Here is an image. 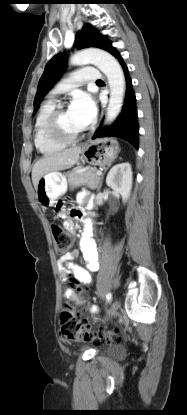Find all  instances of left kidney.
Returning a JSON list of instances; mask_svg holds the SVG:
<instances>
[{
	"label": "left kidney",
	"instance_id": "5707ae66",
	"mask_svg": "<svg viewBox=\"0 0 187 415\" xmlns=\"http://www.w3.org/2000/svg\"><path fill=\"white\" fill-rule=\"evenodd\" d=\"M106 184L120 194L123 202H127L132 188V169L128 162L113 166L107 177Z\"/></svg>",
	"mask_w": 187,
	"mask_h": 415
}]
</instances>
